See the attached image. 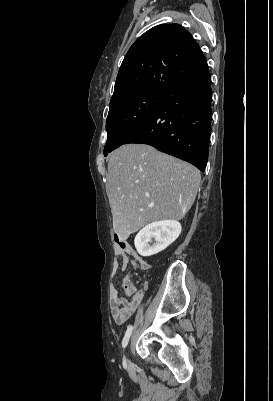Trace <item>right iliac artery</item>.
I'll return each instance as SVG.
<instances>
[{"instance_id":"obj_1","label":"right iliac artery","mask_w":273,"mask_h":401,"mask_svg":"<svg viewBox=\"0 0 273 401\" xmlns=\"http://www.w3.org/2000/svg\"><path fill=\"white\" fill-rule=\"evenodd\" d=\"M132 330H133V327L131 325L128 326V328L126 330V333H125V336H124L123 341H122V347L123 348H125L127 346L128 341H129L130 336H131V333H132ZM123 365H124L125 368H127L125 358L123 359Z\"/></svg>"}]
</instances>
